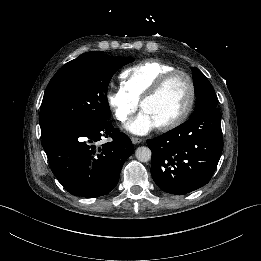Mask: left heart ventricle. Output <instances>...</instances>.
<instances>
[{
  "label": "left heart ventricle",
  "mask_w": 261,
  "mask_h": 261,
  "mask_svg": "<svg viewBox=\"0 0 261 261\" xmlns=\"http://www.w3.org/2000/svg\"><path fill=\"white\" fill-rule=\"evenodd\" d=\"M189 99V86L187 80L175 76L154 99L145 103L142 110L146 111L157 126L175 119L185 108Z\"/></svg>",
  "instance_id": "obj_1"
}]
</instances>
